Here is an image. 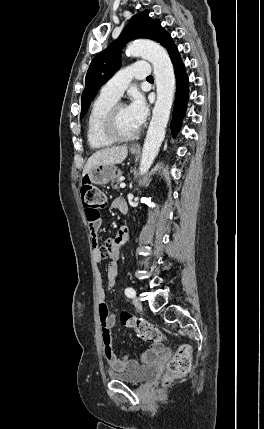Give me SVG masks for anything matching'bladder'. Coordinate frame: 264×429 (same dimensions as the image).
<instances>
[{
  "mask_svg": "<svg viewBox=\"0 0 264 429\" xmlns=\"http://www.w3.org/2000/svg\"><path fill=\"white\" fill-rule=\"evenodd\" d=\"M157 372V366L154 364L140 366L134 370L118 372L110 371L109 377L112 380L128 384L139 385L150 380Z\"/></svg>",
  "mask_w": 264,
  "mask_h": 429,
  "instance_id": "31cf9c89",
  "label": "bladder"
}]
</instances>
